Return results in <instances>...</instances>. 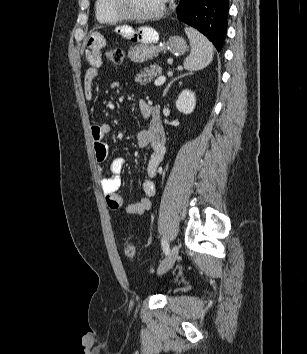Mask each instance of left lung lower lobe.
I'll use <instances>...</instances> for the list:
<instances>
[{"mask_svg": "<svg viewBox=\"0 0 307 354\" xmlns=\"http://www.w3.org/2000/svg\"><path fill=\"white\" fill-rule=\"evenodd\" d=\"M228 0H180V21L203 33L221 51L227 31Z\"/></svg>", "mask_w": 307, "mask_h": 354, "instance_id": "0a47b994", "label": "left lung lower lobe"}]
</instances>
